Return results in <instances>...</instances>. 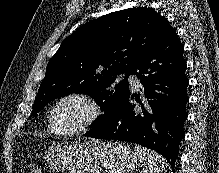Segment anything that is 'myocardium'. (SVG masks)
I'll list each match as a JSON object with an SVG mask.
<instances>
[{
    "mask_svg": "<svg viewBox=\"0 0 219 173\" xmlns=\"http://www.w3.org/2000/svg\"><path fill=\"white\" fill-rule=\"evenodd\" d=\"M67 100H76L86 107V115L81 123L68 131H60L57 129L54 121V112L56 108ZM103 115V108L101 104L91 95L84 92H69L58 97L51 105L48 113V122L51 131L60 137H73L82 134L91 129Z\"/></svg>",
    "mask_w": 219,
    "mask_h": 173,
    "instance_id": "myocardium-1",
    "label": "myocardium"
}]
</instances>
